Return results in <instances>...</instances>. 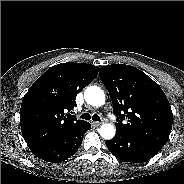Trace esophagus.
I'll list each match as a JSON object with an SVG mask.
<instances>
[{
    "instance_id": "esophagus-1",
    "label": "esophagus",
    "mask_w": 184,
    "mask_h": 184,
    "mask_svg": "<svg viewBox=\"0 0 184 184\" xmlns=\"http://www.w3.org/2000/svg\"><path fill=\"white\" fill-rule=\"evenodd\" d=\"M92 124H93L94 126H96V127H99L100 125H102L101 122H93Z\"/></svg>"
}]
</instances>
